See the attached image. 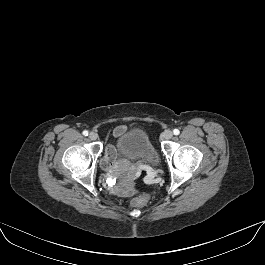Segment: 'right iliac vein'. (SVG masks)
Here are the masks:
<instances>
[{"label": "right iliac vein", "instance_id": "right-iliac-vein-1", "mask_svg": "<svg viewBox=\"0 0 265 265\" xmlns=\"http://www.w3.org/2000/svg\"><path fill=\"white\" fill-rule=\"evenodd\" d=\"M89 138H90L91 140H96V139L98 138V135H97L95 132H91V133L89 134Z\"/></svg>", "mask_w": 265, "mask_h": 265}]
</instances>
